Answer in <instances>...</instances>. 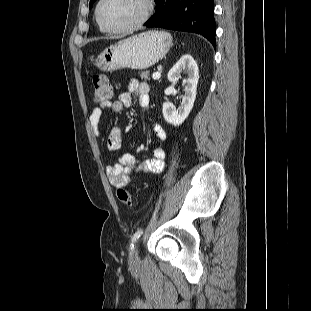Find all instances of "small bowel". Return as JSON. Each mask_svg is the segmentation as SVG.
<instances>
[{"label": "small bowel", "mask_w": 311, "mask_h": 311, "mask_svg": "<svg viewBox=\"0 0 311 311\" xmlns=\"http://www.w3.org/2000/svg\"><path fill=\"white\" fill-rule=\"evenodd\" d=\"M149 92L150 89L146 83L140 82L137 79H132L128 84V90L122 92L117 100L102 103L94 107L88 119L94 135L96 137L100 135V123L104 109L109 108L114 113H121L125 108L132 105L134 95L138 97L140 107L146 113H149ZM152 131L160 141H165L167 139V133L161 125L153 124ZM121 142L122 136L120 128L113 127L106 139L107 148L110 151H116L121 147ZM165 155V150L160 147L155 148L150 157L140 162H137L131 154L125 153L120 155L117 162L109 164L105 168L110 185L116 188L124 187L136 176L160 173L164 168Z\"/></svg>", "instance_id": "1"}]
</instances>
